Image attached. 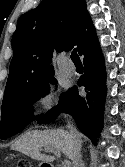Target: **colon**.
<instances>
[{
	"label": "colon",
	"instance_id": "1",
	"mask_svg": "<svg viewBox=\"0 0 125 167\" xmlns=\"http://www.w3.org/2000/svg\"><path fill=\"white\" fill-rule=\"evenodd\" d=\"M16 167H32V165L28 160H20L16 164Z\"/></svg>",
	"mask_w": 125,
	"mask_h": 167
}]
</instances>
